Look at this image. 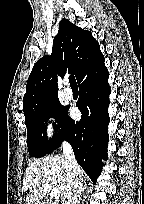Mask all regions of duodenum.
I'll return each mask as SVG.
<instances>
[{
  "mask_svg": "<svg viewBox=\"0 0 144 204\" xmlns=\"http://www.w3.org/2000/svg\"><path fill=\"white\" fill-rule=\"evenodd\" d=\"M38 204H48V203L44 201H40Z\"/></svg>",
  "mask_w": 144,
  "mask_h": 204,
  "instance_id": "1",
  "label": "duodenum"
}]
</instances>
